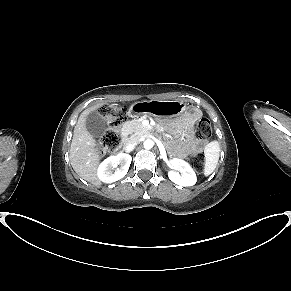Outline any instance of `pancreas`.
<instances>
[{
    "label": "pancreas",
    "instance_id": "1",
    "mask_svg": "<svg viewBox=\"0 0 291 291\" xmlns=\"http://www.w3.org/2000/svg\"><path fill=\"white\" fill-rule=\"evenodd\" d=\"M124 128H128V131L133 132L134 135L140 136L147 131V128L141 124L138 120H132L125 123Z\"/></svg>",
    "mask_w": 291,
    "mask_h": 291
}]
</instances>
